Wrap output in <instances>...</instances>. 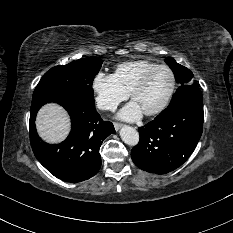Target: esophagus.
Wrapping results in <instances>:
<instances>
[{
  "label": "esophagus",
  "mask_w": 233,
  "mask_h": 233,
  "mask_svg": "<svg viewBox=\"0 0 233 233\" xmlns=\"http://www.w3.org/2000/svg\"><path fill=\"white\" fill-rule=\"evenodd\" d=\"M121 127H122V124H120L118 122H114V128L116 131H118Z\"/></svg>",
  "instance_id": "esophagus-1"
}]
</instances>
